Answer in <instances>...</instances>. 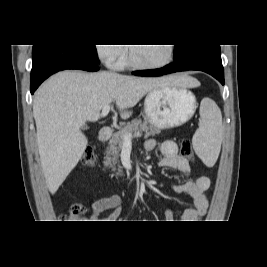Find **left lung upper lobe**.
Wrapping results in <instances>:
<instances>
[{
    "label": "left lung upper lobe",
    "mask_w": 267,
    "mask_h": 267,
    "mask_svg": "<svg viewBox=\"0 0 267 267\" xmlns=\"http://www.w3.org/2000/svg\"><path fill=\"white\" fill-rule=\"evenodd\" d=\"M197 46L199 45H176V48L174 49L175 60L182 59L188 51Z\"/></svg>",
    "instance_id": "5c2ea615"
}]
</instances>
